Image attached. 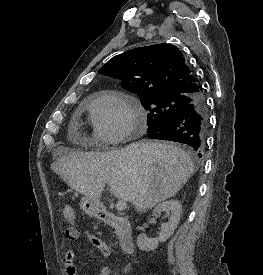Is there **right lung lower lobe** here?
<instances>
[{
    "label": "right lung lower lobe",
    "instance_id": "98d812e1",
    "mask_svg": "<svg viewBox=\"0 0 263 275\" xmlns=\"http://www.w3.org/2000/svg\"><path fill=\"white\" fill-rule=\"evenodd\" d=\"M208 130V111L202 92L195 94L179 113L162 122L148 133L152 139L184 143L201 157Z\"/></svg>",
    "mask_w": 263,
    "mask_h": 275
}]
</instances>
